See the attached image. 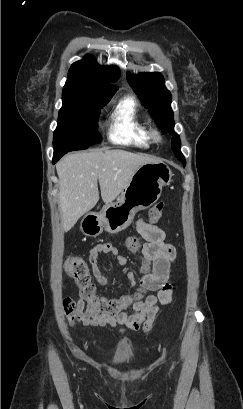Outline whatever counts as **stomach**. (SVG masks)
<instances>
[{"label": "stomach", "mask_w": 243, "mask_h": 409, "mask_svg": "<svg viewBox=\"0 0 243 409\" xmlns=\"http://www.w3.org/2000/svg\"><path fill=\"white\" fill-rule=\"evenodd\" d=\"M172 171L163 162L141 165L133 173L116 203L105 205L99 213H88L81 222V231L97 236L103 230L118 233L127 228L139 210L152 206L160 198L164 186L172 182Z\"/></svg>", "instance_id": "0dacf381"}]
</instances>
